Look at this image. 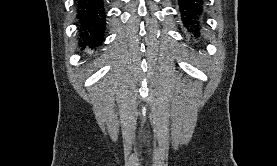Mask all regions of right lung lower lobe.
Returning <instances> with one entry per match:
<instances>
[{"mask_svg":"<svg viewBox=\"0 0 277 166\" xmlns=\"http://www.w3.org/2000/svg\"><path fill=\"white\" fill-rule=\"evenodd\" d=\"M77 19L80 31V47L96 49L105 31L103 0H78Z\"/></svg>","mask_w":277,"mask_h":166,"instance_id":"right-lung-lower-lobe-1","label":"right lung lower lobe"}]
</instances>
